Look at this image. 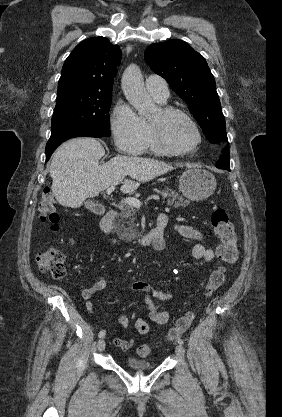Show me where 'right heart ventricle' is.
<instances>
[{
  "instance_id": "obj_1",
  "label": "right heart ventricle",
  "mask_w": 282,
  "mask_h": 417,
  "mask_svg": "<svg viewBox=\"0 0 282 417\" xmlns=\"http://www.w3.org/2000/svg\"><path fill=\"white\" fill-rule=\"evenodd\" d=\"M162 104H164V103H162ZM147 126H148V138H147V146H146V148H151L152 150H155V151H163L158 146V144L156 143V141L154 139V136H153V134H152V132H151V130L149 128V124H147Z\"/></svg>"
}]
</instances>
